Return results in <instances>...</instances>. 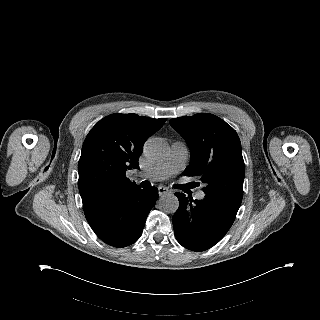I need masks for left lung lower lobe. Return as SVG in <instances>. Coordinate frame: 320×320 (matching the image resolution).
Instances as JSON below:
<instances>
[{"label":"left lung lower lobe","mask_w":320,"mask_h":320,"mask_svg":"<svg viewBox=\"0 0 320 320\" xmlns=\"http://www.w3.org/2000/svg\"><path fill=\"white\" fill-rule=\"evenodd\" d=\"M179 208L172 217L178 242L192 251H204L218 243L232 226L238 207L213 196L202 200L175 193Z\"/></svg>","instance_id":"obj_1"}]
</instances>
